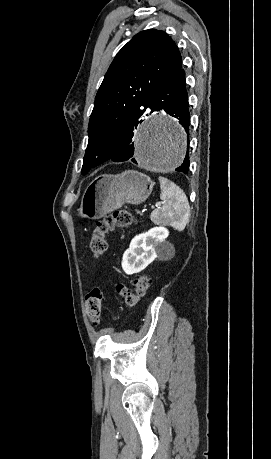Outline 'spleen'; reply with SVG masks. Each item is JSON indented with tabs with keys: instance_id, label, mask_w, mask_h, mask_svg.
I'll return each instance as SVG.
<instances>
[{
	"instance_id": "3e777b00",
	"label": "spleen",
	"mask_w": 271,
	"mask_h": 459,
	"mask_svg": "<svg viewBox=\"0 0 271 459\" xmlns=\"http://www.w3.org/2000/svg\"><path fill=\"white\" fill-rule=\"evenodd\" d=\"M158 180L161 188L160 198L164 204L162 208L154 210L152 220L155 224L172 226V228L182 231V229L186 228L190 216L187 198L183 190H180L179 186H176L167 178L160 176Z\"/></svg>"
}]
</instances>
